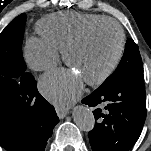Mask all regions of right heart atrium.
<instances>
[{
    "label": "right heart atrium",
    "instance_id": "1",
    "mask_svg": "<svg viewBox=\"0 0 151 151\" xmlns=\"http://www.w3.org/2000/svg\"><path fill=\"white\" fill-rule=\"evenodd\" d=\"M58 49L44 41L42 38L31 37L25 46V59L35 71H46L57 63Z\"/></svg>",
    "mask_w": 151,
    "mask_h": 151
}]
</instances>
